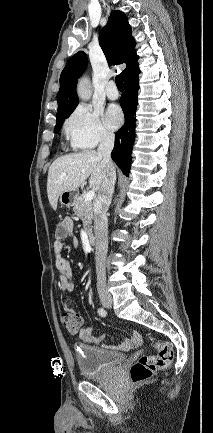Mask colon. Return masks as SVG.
<instances>
[{"mask_svg":"<svg viewBox=\"0 0 213 433\" xmlns=\"http://www.w3.org/2000/svg\"><path fill=\"white\" fill-rule=\"evenodd\" d=\"M62 322L68 332L75 334L82 326L81 315L74 310H67L62 315ZM155 355L141 356L131 367L130 377L133 384H140L153 377L158 371L169 367L174 359L173 346L168 342H154Z\"/></svg>","mask_w":213,"mask_h":433,"instance_id":"1","label":"colon"}]
</instances>
